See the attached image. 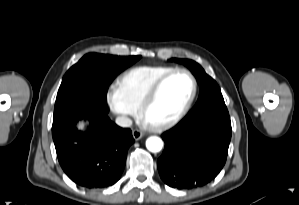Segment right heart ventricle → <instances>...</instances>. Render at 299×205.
<instances>
[{"label": "right heart ventricle", "instance_id": "e07e8e85", "mask_svg": "<svg viewBox=\"0 0 299 205\" xmlns=\"http://www.w3.org/2000/svg\"><path fill=\"white\" fill-rule=\"evenodd\" d=\"M173 69L169 66H137L124 72L116 87L126 104L137 110L155 82Z\"/></svg>", "mask_w": 299, "mask_h": 205}]
</instances>
